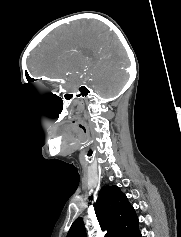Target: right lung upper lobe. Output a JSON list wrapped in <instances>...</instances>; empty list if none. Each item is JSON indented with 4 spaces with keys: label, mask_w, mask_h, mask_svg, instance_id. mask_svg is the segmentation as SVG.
Returning <instances> with one entry per match:
<instances>
[{
    "label": "right lung upper lobe",
    "mask_w": 181,
    "mask_h": 237,
    "mask_svg": "<svg viewBox=\"0 0 181 237\" xmlns=\"http://www.w3.org/2000/svg\"><path fill=\"white\" fill-rule=\"evenodd\" d=\"M95 213L101 229L108 231L105 237H136L140 232L134 208L116 185L100 190ZM67 237H87L81 217L73 222Z\"/></svg>",
    "instance_id": "cb5924a9"
}]
</instances>
